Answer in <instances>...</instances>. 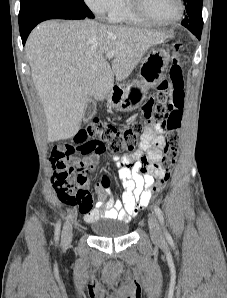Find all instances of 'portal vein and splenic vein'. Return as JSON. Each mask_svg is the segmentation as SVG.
<instances>
[{"mask_svg": "<svg viewBox=\"0 0 227 298\" xmlns=\"http://www.w3.org/2000/svg\"><path fill=\"white\" fill-rule=\"evenodd\" d=\"M114 56H115V52H114V51H109V52H107V53L105 54V58H106L107 60L112 59Z\"/></svg>", "mask_w": 227, "mask_h": 298, "instance_id": "1", "label": "portal vein and splenic vein"}]
</instances>
